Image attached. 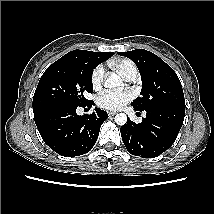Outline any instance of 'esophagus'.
Returning <instances> with one entry per match:
<instances>
[{
  "instance_id": "esophagus-1",
  "label": "esophagus",
  "mask_w": 214,
  "mask_h": 214,
  "mask_svg": "<svg viewBox=\"0 0 214 214\" xmlns=\"http://www.w3.org/2000/svg\"><path fill=\"white\" fill-rule=\"evenodd\" d=\"M115 114H116V112H112V111L108 112L109 116H114Z\"/></svg>"
}]
</instances>
